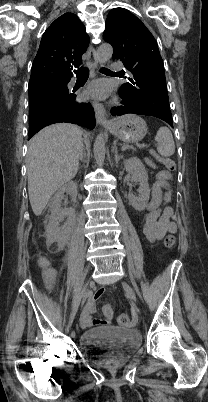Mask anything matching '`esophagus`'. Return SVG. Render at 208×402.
<instances>
[{
  "instance_id": "obj_1",
  "label": "esophagus",
  "mask_w": 208,
  "mask_h": 402,
  "mask_svg": "<svg viewBox=\"0 0 208 402\" xmlns=\"http://www.w3.org/2000/svg\"><path fill=\"white\" fill-rule=\"evenodd\" d=\"M87 64L91 69H96L98 65V60H97V52L94 49L93 46H90L89 49L87 50ZM94 111H95V117L98 123L101 125L108 127L111 125V122L107 119L106 116V111L105 108L101 103L98 102H92Z\"/></svg>"
}]
</instances>
